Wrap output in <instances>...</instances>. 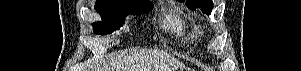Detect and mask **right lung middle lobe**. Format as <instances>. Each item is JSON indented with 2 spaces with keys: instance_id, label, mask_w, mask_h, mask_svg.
<instances>
[{
  "instance_id": "dd1d6c3e",
  "label": "right lung middle lobe",
  "mask_w": 301,
  "mask_h": 71,
  "mask_svg": "<svg viewBox=\"0 0 301 71\" xmlns=\"http://www.w3.org/2000/svg\"><path fill=\"white\" fill-rule=\"evenodd\" d=\"M152 3H133L115 0L96 1L95 9L102 17L101 22L93 23L95 34L107 35L120 28L128 14L140 15L153 8Z\"/></svg>"
}]
</instances>
